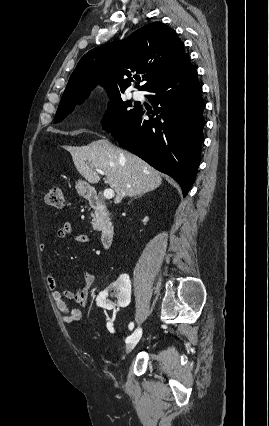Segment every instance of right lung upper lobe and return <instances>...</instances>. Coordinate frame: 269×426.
<instances>
[{
  "label": "right lung upper lobe",
  "mask_w": 269,
  "mask_h": 426,
  "mask_svg": "<svg viewBox=\"0 0 269 426\" xmlns=\"http://www.w3.org/2000/svg\"><path fill=\"white\" fill-rule=\"evenodd\" d=\"M191 66L176 32L160 22L150 23L130 37L106 43L87 52L73 71L63 98L89 96L96 84L109 95L123 93L133 81L132 73H144L139 90L173 78Z\"/></svg>",
  "instance_id": "obj_1"
}]
</instances>
